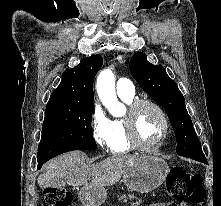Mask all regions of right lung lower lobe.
I'll return each mask as SVG.
<instances>
[{
    "label": "right lung lower lobe",
    "instance_id": "1",
    "mask_svg": "<svg viewBox=\"0 0 221 206\" xmlns=\"http://www.w3.org/2000/svg\"><path fill=\"white\" fill-rule=\"evenodd\" d=\"M46 161H38V168H41Z\"/></svg>",
    "mask_w": 221,
    "mask_h": 206
}]
</instances>
